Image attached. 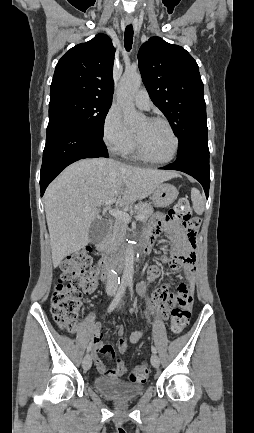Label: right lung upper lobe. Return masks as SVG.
Segmentation results:
<instances>
[{
  "label": "right lung upper lobe",
  "mask_w": 254,
  "mask_h": 433,
  "mask_svg": "<svg viewBox=\"0 0 254 433\" xmlns=\"http://www.w3.org/2000/svg\"><path fill=\"white\" fill-rule=\"evenodd\" d=\"M114 53L104 34L71 48L56 65L49 105L67 99L112 103Z\"/></svg>",
  "instance_id": "cb5924a9"
}]
</instances>
